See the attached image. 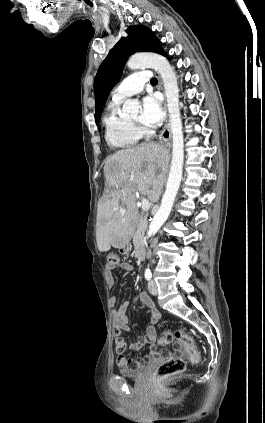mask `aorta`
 Segmentation results:
<instances>
[{
    "instance_id": "aorta-1",
    "label": "aorta",
    "mask_w": 265,
    "mask_h": 423,
    "mask_svg": "<svg viewBox=\"0 0 265 423\" xmlns=\"http://www.w3.org/2000/svg\"><path fill=\"white\" fill-rule=\"evenodd\" d=\"M129 69L153 68L159 72L163 80L167 107L172 131V161L167 180L166 191L161 205L154 215L147 230V239L153 237L167 220L178 192L183 173L184 137L179 107V88L176 74L168 60L156 53H140L133 55L127 62ZM139 108V102L128 99L124 102L123 113H132Z\"/></svg>"
}]
</instances>
